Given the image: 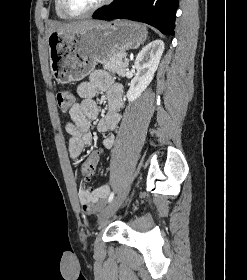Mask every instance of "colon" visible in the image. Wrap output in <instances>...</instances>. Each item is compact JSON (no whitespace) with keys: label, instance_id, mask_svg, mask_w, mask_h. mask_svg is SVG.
<instances>
[{"label":"colon","instance_id":"1","mask_svg":"<svg viewBox=\"0 0 247 280\" xmlns=\"http://www.w3.org/2000/svg\"><path fill=\"white\" fill-rule=\"evenodd\" d=\"M57 105L61 112H67L74 104L75 98L73 93L67 90H62L56 96ZM104 154V149L95 147L93 152L87 158L86 162L82 165L81 171L84 178H90L95 174V167L100 160V155Z\"/></svg>","mask_w":247,"mask_h":280}]
</instances>
